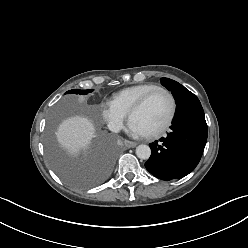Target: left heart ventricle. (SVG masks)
Returning a JSON list of instances; mask_svg holds the SVG:
<instances>
[{"mask_svg": "<svg viewBox=\"0 0 248 248\" xmlns=\"http://www.w3.org/2000/svg\"><path fill=\"white\" fill-rule=\"evenodd\" d=\"M170 108L169 98L164 93L158 92L132 116L131 122L138 126L144 134L152 133L167 120Z\"/></svg>", "mask_w": 248, "mask_h": 248, "instance_id": "b2bd125f", "label": "left heart ventricle"}]
</instances>
